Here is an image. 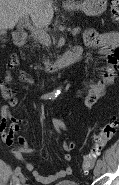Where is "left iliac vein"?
<instances>
[{"instance_id": "1", "label": "left iliac vein", "mask_w": 119, "mask_h": 185, "mask_svg": "<svg viewBox=\"0 0 119 185\" xmlns=\"http://www.w3.org/2000/svg\"><path fill=\"white\" fill-rule=\"evenodd\" d=\"M101 174V166L100 165H96L94 168V175L96 177H98Z\"/></svg>"}]
</instances>
